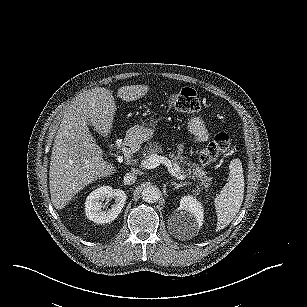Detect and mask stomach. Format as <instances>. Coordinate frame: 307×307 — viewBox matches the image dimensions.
Instances as JSON below:
<instances>
[{"instance_id": "stomach-1", "label": "stomach", "mask_w": 307, "mask_h": 307, "mask_svg": "<svg viewBox=\"0 0 307 307\" xmlns=\"http://www.w3.org/2000/svg\"><path fill=\"white\" fill-rule=\"evenodd\" d=\"M153 130L147 127L135 125L127 130L125 135V142L134 145H140L147 141L153 135Z\"/></svg>"}]
</instances>
